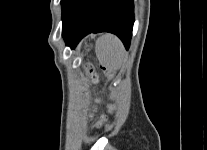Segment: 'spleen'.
<instances>
[{
	"label": "spleen",
	"mask_w": 207,
	"mask_h": 150,
	"mask_svg": "<svg viewBox=\"0 0 207 150\" xmlns=\"http://www.w3.org/2000/svg\"><path fill=\"white\" fill-rule=\"evenodd\" d=\"M96 54L101 64L116 71L122 66L124 47L116 36L104 34L96 41Z\"/></svg>",
	"instance_id": "obj_1"
}]
</instances>
